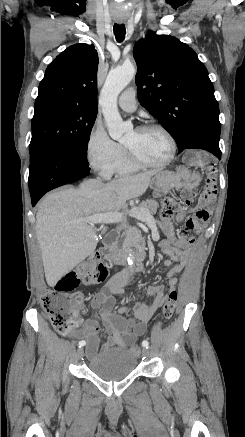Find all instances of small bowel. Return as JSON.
Here are the masks:
<instances>
[{"label": "small bowel", "instance_id": "c3829d8e", "mask_svg": "<svg viewBox=\"0 0 245 437\" xmlns=\"http://www.w3.org/2000/svg\"><path fill=\"white\" fill-rule=\"evenodd\" d=\"M186 161L192 171H204L206 175H213L216 164L211 159L210 154H204L203 150H186ZM199 183V179L194 180V185ZM191 191H186L184 198L186 202L192 200ZM212 191L208 189L202 199L201 206L195 216L190 218L186 223V229L183 235H178L174 227L163 220L160 225L167 238L160 242L162 253L166 256L164 266L169 268L167 272L168 287L175 288L179 284V279L175 277L180 273L187 262L189 249L194 244L195 238L188 235V231L197 229L202 230L206 227L209 220V207L211 205ZM185 211L180 210L178 219L182 220ZM123 282H118L117 278H112L91 301V306L99 310V315L107 333V342L102 346V351H108L112 348H125L139 336L145 333L146 326L166 300L167 294L165 286L161 284L151 285L146 294L152 299L150 302H135L132 306V317H129V309L121 307L117 313L112 309L115 304L114 294L122 291ZM99 326L94 319H87L84 322V328L81 332L76 331L74 335H82L87 340L86 356L94 359L98 355Z\"/></svg>", "mask_w": 245, "mask_h": 437}]
</instances>
